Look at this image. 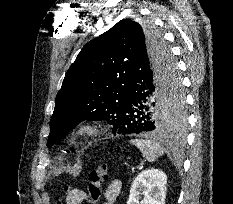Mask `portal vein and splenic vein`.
Wrapping results in <instances>:
<instances>
[{
    "label": "portal vein and splenic vein",
    "instance_id": "1",
    "mask_svg": "<svg viewBox=\"0 0 233 204\" xmlns=\"http://www.w3.org/2000/svg\"><path fill=\"white\" fill-rule=\"evenodd\" d=\"M132 171L134 172V171H135V168H132Z\"/></svg>",
    "mask_w": 233,
    "mask_h": 204
}]
</instances>
